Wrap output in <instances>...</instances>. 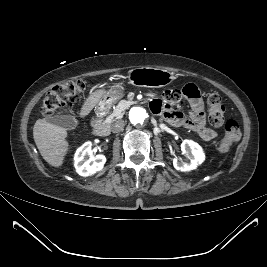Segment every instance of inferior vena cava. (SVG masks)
Returning a JSON list of instances; mask_svg holds the SVG:
<instances>
[{"label": "inferior vena cava", "instance_id": "1", "mask_svg": "<svg viewBox=\"0 0 267 267\" xmlns=\"http://www.w3.org/2000/svg\"><path fill=\"white\" fill-rule=\"evenodd\" d=\"M123 128H124V121L123 120H117L111 126V130L113 133H118V132L122 131Z\"/></svg>", "mask_w": 267, "mask_h": 267}]
</instances>
